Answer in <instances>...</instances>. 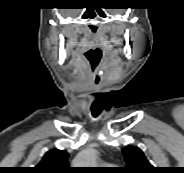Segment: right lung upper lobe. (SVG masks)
Returning a JSON list of instances; mask_svg holds the SVG:
<instances>
[{
  "label": "right lung upper lobe",
  "instance_id": "cb5924a9",
  "mask_svg": "<svg viewBox=\"0 0 184 173\" xmlns=\"http://www.w3.org/2000/svg\"><path fill=\"white\" fill-rule=\"evenodd\" d=\"M68 157L69 154L65 150L52 149L44 155L32 171L33 173H70Z\"/></svg>",
  "mask_w": 184,
  "mask_h": 173
}]
</instances>
